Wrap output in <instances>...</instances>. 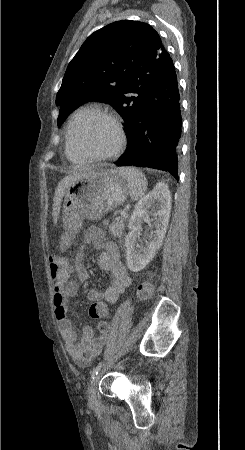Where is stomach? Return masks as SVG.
<instances>
[{
	"instance_id": "stomach-1",
	"label": "stomach",
	"mask_w": 245,
	"mask_h": 450,
	"mask_svg": "<svg viewBox=\"0 0 245 450\" xmlns=\"http://www.w3.org/2000/svg\"><path fill=\"white\" fill-rule=\"evenodd\" d=\"M129 184L119 169H95L74 180L66 191L63 204L65 234L59 249L64 252L84 219L96 220L123 204Z\"/></svg>"
}]
</instances>
